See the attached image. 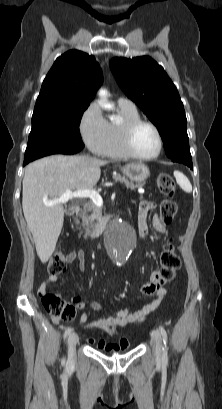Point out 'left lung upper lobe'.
<instances>
[{
    "label": "left lung upper lobe",
    "mask_w": 222,
    "mask_h": 409,
    "mask_svg": "<svg viewBox=\"0 0 222 409\" xmlns=\"http://www.w3.org/2000/svg\"><path fill=\"white\" fill-rule=\"evenodd\" d=\"M110 68L124 93L158 128L167 156L191 155L184 106L163 67L142 56L113 58Z\"/></svg>",
    "instance_id": "5c2ea615"
}]
</instances>
